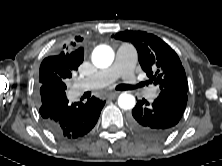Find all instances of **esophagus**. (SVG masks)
<instances>
[{
	"mask_svg": "<svg viewBox=\"0 0 222 166\" xmlns=\"http://www.w3.org/2000/svg\"><path fill=\"white\" fill-rule=\"evenodd\" d=\"M120 92H111L106 95L108 99H114L119 95Z\"/></svg>",
	"mask_w": 222,
	"mask_h": 166,
	"instance_id": "1",
	"label": "esophagus"
}]
</instances>
